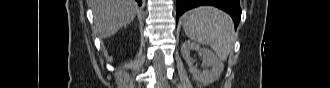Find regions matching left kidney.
<instances>
[{
  "label": "left kidney",
  "instance_id": "5707ae66",
  "mask_svg": "<svg viewBox=\"0 0 330 88\" xmlns=\"http://www.w3.org/2000/svg\"><path fill=\"white\" fill-rule=\"evenodd\" d=\"M191 50L197 51L198 55L203 57L202 71L193 66V61L190 57ZM181 54L188 64L190 73L194 79L203 85H208L218 80L224 69L223 63L211 50L202 48L199 44L189 40L182 44Z\"/></svg>",
  "mask_w": 330,
  "mask_h": 88
}]
</instances>
